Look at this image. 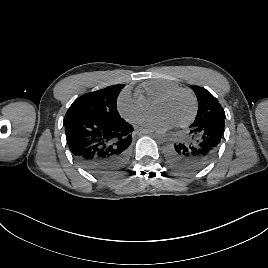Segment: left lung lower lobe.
Returning <instances> with one entry per match:
<instances>
[{
    "label": "left lung lower lobe",
    "instance_id": "0a47b994",
    "mask_svg": "<svg viewBox=\"0 0 268 268\" xmlns=\"http://www.w3.org/2000/svg\"><path fill=\"white\" fill-rule=\"evenodd\" d=\"M224 123V119H217L214 124L190 128L187 140L168 146L167 160L181 171L192 172L203 169L219 151Z\"/></svg>",
    "mask_w": 268,
    "mask_h": 268
}]
</instances>
